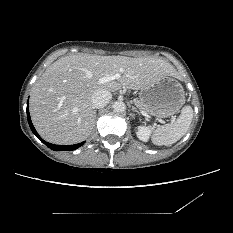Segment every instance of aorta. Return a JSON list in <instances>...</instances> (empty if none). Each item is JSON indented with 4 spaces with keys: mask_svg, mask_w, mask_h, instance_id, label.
<instances>
[{
    "mask_svg": "<svg viewBox=\"0 0 233 233\" xmlns=\"http://www.w3.org/2000/svg\"><path fill=\"white\" fill-rule=\"evenodd\" d=\"M126 109V105L124 102L122 101H116L114 104H113V110L114 112H118V113H121V112H124Z\"/></svg>",
    "mask_w": 233,
    "mask_h": 233,
    "instance_id": "1",
    "label": "aorta"
}]
</instances>
